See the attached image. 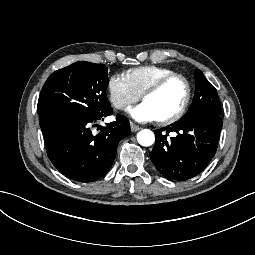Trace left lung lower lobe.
<instances>
[{"label":"left lung lower lobe","instance_id":"obj_1","mask_svg":"<svg viewBox=\"0 0 255 255\" xmlns=\"http://www.w3.org/2000/svg\"><path fill=\"white\" fill-rule=\"evenodd\" d=\"M222 128L219 114L198 111L155 131L150 159L170 180L185 181L202 172L214 157ZM169 132L176 135L167 138Z\"/></svg>","mask_w":255,"mask_h":255}]
</instances>
